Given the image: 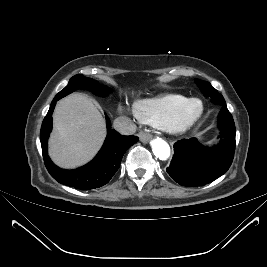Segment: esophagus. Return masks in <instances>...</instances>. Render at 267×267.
<instances>
[{"mask_svg": "<svg viewBox=\"0 0 267 267\" xmlns=\"http://www.w3.org/2000/svg\"><path fill=\"white\" fill-rule=\"evenodd\" d=\"M138 136H139L140 141L144 143L148 142L151 138L150 134H147L144 132H139Z\"/></svg>", "mask_w": 267, "mask_h": 267, "instance_id": "34e87169", "label": "esophagus"}]
</instances>
